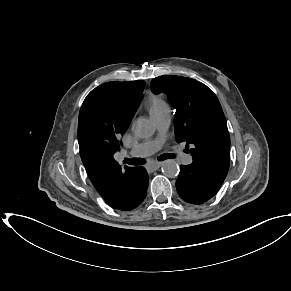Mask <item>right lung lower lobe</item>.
<instances>
[{"label":"right lung lower lobe","mask_w":291,"mask_h":291,"mask_svg":"<svg viewBox=\"0 0 291 291\" xmlns=\"http://www.w3.org/2000/svg\"><path fill=\"white\" fill-rule=\"evenodd\" d=\"M148 183L149 177L143 167L132 168L126 175L125 198L116 204H108L121 211H129L138 207L146 196Z\"/></svg>","instance_id":"1"}]
</instances>
